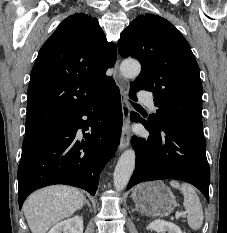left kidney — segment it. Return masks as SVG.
<instances>
[{
  "mask_svg": "<svg viewBox=\"0 0 227 233\" xmlns=\"http://www.w3.org/2000/svg\"><path fill=\"white\" fill-rule=\"evenodd\" d=\"M147 229L154 230L158 233H183L176 224L164 220L153 221L147 226Z\"/></svg>",
  "mask_w": 227,
  "mask_h": 233,
  "instance_id": "5707ae66",
  "label": "left kidney"
}]
</instances>
